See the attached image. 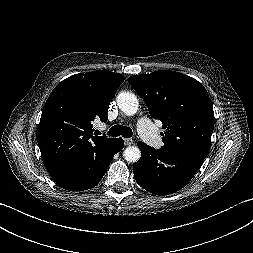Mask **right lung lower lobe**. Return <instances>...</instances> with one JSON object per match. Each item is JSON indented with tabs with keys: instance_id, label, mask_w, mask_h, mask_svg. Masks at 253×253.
<instances>
[{
	"instance_id": "right-lung-lower-lobe-1",
	"label": "right lung lower lobe",
	"mask_w": 253,
	"mask_h": 253,
	"mask_svg": "<svg viewBox=\"0 0 253 253\" xmlns=\"http://www.w3.org/2000/svg\"><path fill=\"white\" fill-rule=\"evenodd\" d=\"M123 147V139L116 138L106 148L89 156L50 166L47 169L61 188L69 191L87 190L100 182L113 156Z\"/></svg>"
}]
</instances>
